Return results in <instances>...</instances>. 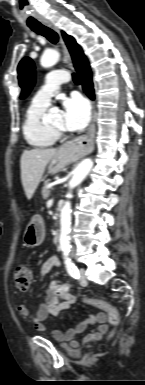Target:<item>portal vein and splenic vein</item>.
Returning a JSON list of instances; mask_svg holds the SVG:
<instances>
[{
	"mask_svg": "<svg viewBox=\"0 0 145 385\" xmlns=\"http://www.w3.org/2000/svg\"><path fill=\"white\" fill-rule=\"evenodd\" d=\"M53 201V199H51L49 202H52Z\"/></svg>",
	"mask_w": 145,
	"mask_h": 385,
	"instance_id": "obj_1",
	"label": "portal vein and splenic vein"
}]
</instances>
